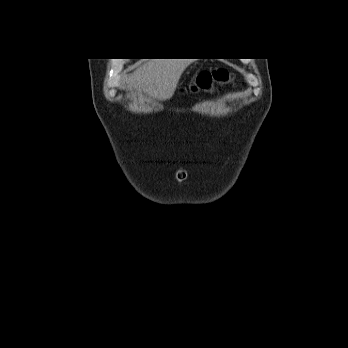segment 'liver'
I'll list each match as a JSON object with an SVG mask.
<instances>
[{"mask_svg": "<svg viewBox=\"0 0 348 348\" xmlns=\"http://www.w3.org/2000/svg\"><path fill=\"white\" fill-rule=\"evenodd\" d=\"M194 59H150L128 79V88L143 90L160 100L170 99L184 70Z\"/></svg>", "mask_w": 348, "mask_h": 348, "instance_id": "6515ba94", "label": "liver"}]
</instances>
